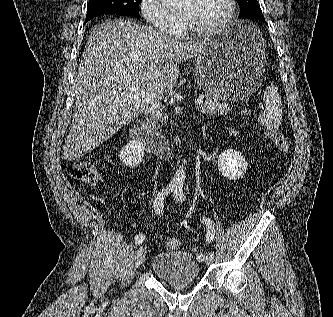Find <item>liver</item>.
<instances>
[{"label": "liver", "mask_w": 333, "mask_h": 317, "mask_svg": "<svg viewBox=\"0 0 333 317\" xmlns=\"http://www.w3.org/2000/svg\"><path fill=\"white\" fill-rule=\"evenodd\" d=\"M207 38L184 42L122 19L96 26L74 79L75 111L63 158L75 160L94 150L146 113L150 101L171 93L179 76L177 64L196 57ZM132 88L140 100L129 97Z\"/></svg>", "instance_id": "1"}]
</instances>
